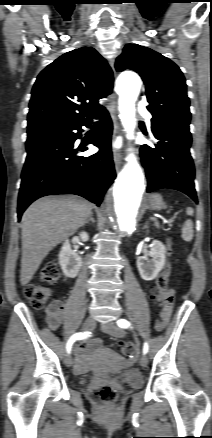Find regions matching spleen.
<instances>
[{
    "mask_svg": "<svg viewBox=\"0 0 212 438\" xmlns=\"http://www.w3.org/2000/svg\"><path fill=\"white\" fill-rule=\"evenodd\" d=\"M193 223L190 219L186 220L182 226V238L186 242H190L193 239Z\"/></svg>",
    "mask_w": 212,
    "mask_h": 438,
    "instance_id": "obj_1",
    "label": "spleen"
}]
</instances>
